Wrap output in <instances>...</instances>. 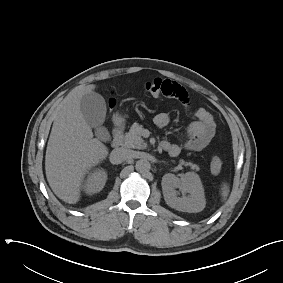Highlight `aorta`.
I'll use <instances>...</instances> for the list:
<instances>
[{
  "mask_svg": "<svg viewBox=\"0 0 283 283\" xmlns=\"http://www.w3.org/2000/svg\"><path fill=\"white\" fill-rule=\"evenodd\" d=\"M135 168L138 172H147L150 169V163L146 159H140L136 162Z\"/></svg>",
  "mask_w": 283,
  "mask_h": 283,
  "instance_id": "obj_1",
  "label": "aorta"
}]
</instances>
